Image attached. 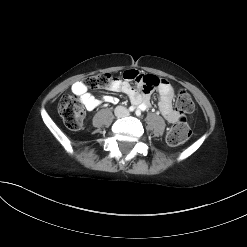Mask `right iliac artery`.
I'll return each instance as SVG.
<instances>
[{"mask_svg":"<svg viewBox=\"0 0 247 247\" xmlns=\"http://www.w3.org/2000/svg\"><path fill=\"white\" fill-rule=\"evenodd\" d=\"M134 109H135V107L130 106L128 110H129L130 112H132V111H134Z\"/></svg>","mask_w":247,"mask_h":247,"instance_id":"right-iliac-artery-1","label":"right iliac artery"}]
</instances>
